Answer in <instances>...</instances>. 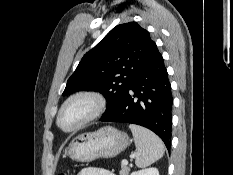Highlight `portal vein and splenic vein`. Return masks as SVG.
Here are the masks:
<instances>
[{"instance_id":"portal-vein-and-splenic-vein-1","label":"portal vein and splenic vein","mask_w":233,"mask_h":175,"mask_svg":"<svg viewBox=\"0 0 233 175\" xmlns=\"http://www.w3.org/2000/svg\"><path fill=\"white\" fill-rule=\"evenodd\" d=\"M122 165H123V166L128 165V161H127V160H122Z\"/></svg>"}]
</instances>
